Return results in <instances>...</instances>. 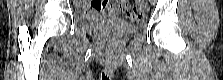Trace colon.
Here are the masks:
<instances>
[{
  "label": "colon",
  "instance_id": "obj_1",
  "mask_svg": "<svg viewBox=\"0 0 223 80\" xmlns=\"http://www.w3.org/2000/svg\"><path fill=\"white\" fill-rule=\"evenodd\" d=\"M121 3L120 10L124 13L125 18L133 23L139 22L142 18V13L137 7H130L126 1H119Z\"/></svg>",
  "mask_w": 223,
  "mask_h": 80
}]
</instances>
